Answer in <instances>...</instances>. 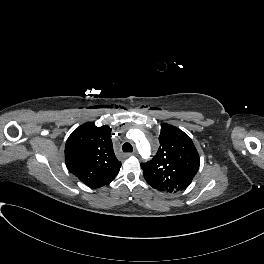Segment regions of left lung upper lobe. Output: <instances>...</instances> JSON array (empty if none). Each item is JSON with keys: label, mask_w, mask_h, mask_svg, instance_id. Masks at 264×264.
<instances>
[{"label": "left lung upper lobe", "mask_w": 264, "mask_h": 264, "mask_svg": "<svg viewBox=\"0 0 264 264\" xmlns=\"http://www.w3.org/2000/svg\"><path fill=\"white\" fill-rule=\"evenodd\" d=\"M160 146L152 160L141 163L147 183L162 192H177L190 185L200 158L191 138L169 124H161Z\"/></svg>", "instance_id": "left-lung-upper-lobe-1"}]
</instances>
